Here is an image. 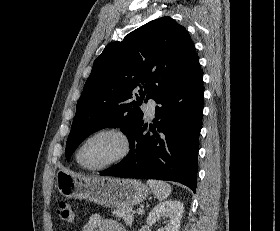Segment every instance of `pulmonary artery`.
Segmentation results:
<instances>
[{
	"label": "pulmonary artery",
	"instance_id": "1",
	"mask_svg": "<svg viewBox=\"0 0 280 231\" xmlns=\"http://www.w3.org/2000/svg\"><path fill=\"white\" fill-rule=\"evenodd\" d=\"M144 105H157L156 101L153 98H150L147 100V102ZM145 113H156V110H144ZM153 119V118H149Z\"/></svg>",
	"mask_w": 280,
	"mask_h": 231
}]
</instances>
